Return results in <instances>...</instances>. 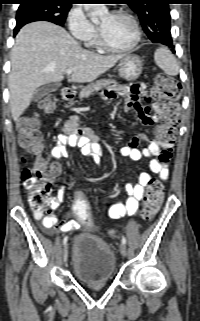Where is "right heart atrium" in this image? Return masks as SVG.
Segmentation results:
<instances>
[{"mask_svg":"<svg viewBox=\"0 0 200 321\" xmlns=\"http://www.w3.org/2000/svg\"><path fill=\"white\" fill-rule=\"evenodd\" d=\"M68 29L77 40L87 41L95 36L96 29L79 6L70 9L67 17Z\"/></svg>","mask_w":200,"mask_h":321,"instance_id":"d8ad5b80","label":"right heart atrium"}]
</instances>
